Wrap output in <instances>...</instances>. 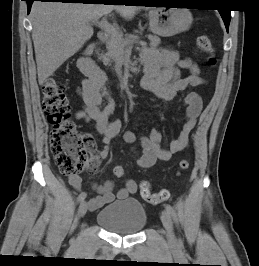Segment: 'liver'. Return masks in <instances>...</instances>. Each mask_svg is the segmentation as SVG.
<instances>
[{"label":"liver","instance_id":"obj_1","mask_svg":"<svg viewBox=\"0 0 259 266\" xmlns=\"http://www.w3.org/2000/svg\"><path fill=\"white\" fill-rule=\"evenodd\" d=\"M140 6L34 2L31 9L32 40L39 85L92 37L90 22L116 10L131 19Z\"/></svg>","mask_w":259,"mask_h":266}]
</instances>
